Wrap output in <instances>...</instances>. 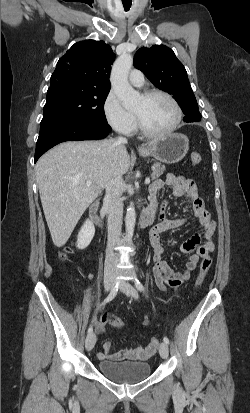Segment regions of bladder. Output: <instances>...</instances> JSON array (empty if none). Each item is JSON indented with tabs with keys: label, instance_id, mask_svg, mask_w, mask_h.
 <instances>
[{
	"label": "bladder",
	"instance_id": "bladder-1",
	"mask_svg": "<svg viewBox=\"0 0 250 413\" xmlns=\"http://www.w3.org/2000/svg\"><path fill=\"white\" fill-rule=\"evenodd\" d=\"M97 366L104 376L121 384L140 382L146 379L151 372L150 364L142 361L102 360Z\"/></svg>",
	"mask_w": 250,
	"mask_h": 413
}]
</instances>
